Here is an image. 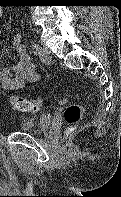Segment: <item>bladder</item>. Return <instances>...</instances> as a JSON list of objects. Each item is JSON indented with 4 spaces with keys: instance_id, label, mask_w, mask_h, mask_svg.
<instances>
[{
    "instance_id": "31cf9c89",
    "label": "bladder",
    "mask_w": 121,
    "mask_h": 197,
    "mask_svg": "<svg viewBox=\"0 0 121 197\" xmlns=\"http://www.w3.org/2000/svg\"><path fill=\"white\" fill-rule=\"evenodd\" d=\"M51 125V116L48 113H42L26 119L20 126L19 130L23 132H42Z\"/></svg>"
}]
</instances>
